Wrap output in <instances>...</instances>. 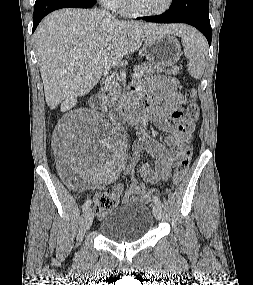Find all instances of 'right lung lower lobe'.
Segmentation results:
<instances>
[{"mask_svg":"<svg viewBox=\"0 0 253 285\" xmlns=\"http://www.w3.org/2000/svg\"><path fill=\"white\" fill-rule=\"evenodd\" d=\"M96 3V0H36L34 6V16H33V30L35 31L39 22L50 12L65 8V7H75V8H90Z\"/></svg>","mask_w":253,"mask_h":285,"instance_id":"obj_1","label":"right lung lower lobe"}]
</instances>
